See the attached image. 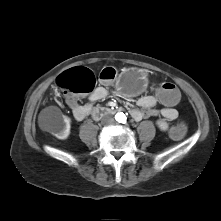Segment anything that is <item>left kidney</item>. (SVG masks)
<instances>
[{"mask_svg": "<svg viewBox=\"0 0 221 221\" xmlns=\"http://www.w3.org/2000/svg\"><path fill=\"white\" fill-rule=\"evenodd\" d=\"M156 124L161 131H166L169 128V125L165 120H157Z\"/></svg>", "mask_w": 221, "mask_h": 221, "instance_id": "obj_1", "label": "left kidney"}]
</instances>
